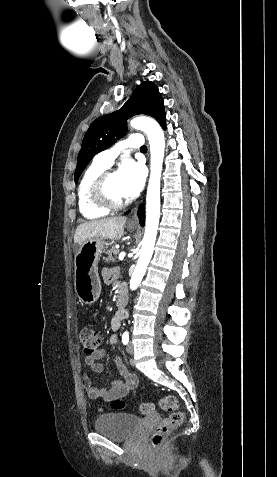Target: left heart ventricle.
I'll list each match as a JSON object with an SVG mask.
<instances>
[{"instance_id":"left-heart-ventricle-1","label":"left heart ventricle","mask_w":277,"mask_h":477,"mask_svg":"<svg viewBox=\"0 0 277 477\" xmlns=\"http://www.w3.org/2000/svg\"><path fill=\"white\" fill-rule=\"evenodd\" d=\"M107 192L114 200H123L125 197L122 194L120 181L117 172L113 173L107 183Z\"/></svg>"}]
</instances>
